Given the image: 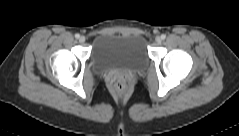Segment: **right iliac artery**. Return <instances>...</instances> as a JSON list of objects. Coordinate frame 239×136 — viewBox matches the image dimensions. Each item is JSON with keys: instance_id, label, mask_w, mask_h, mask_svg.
Wrapping results in <instances>:
<instances>
[{"instance_id": "obj_1", "label": "right iliac artery", "mask_w": 239, "mask_h": 136, "mask_svg": "<svg viewBox=\"0 0 239 136\" xmlns=\"http://www.w3.org/2000/svg\"><path fill=\"white\" fill-rule=\"evenodd\" d=\"M80 37V35L77 33V34H75V38H79Z\"/></svg>"}]
</instances>
